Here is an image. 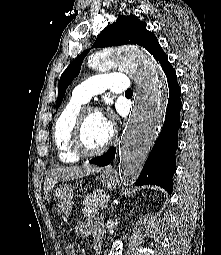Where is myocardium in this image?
<instances>
[{
    "mask_svg": "<svg viewBox=\"0 0 221 255\" xmlns=\"http://www.w3.org/2000/svg\"><path fill=\"white\" fill-rule=\"evenodd\" d=\"M91 113H100L96 108H89L80 114L72 134V148L76 154L80 157H93L104 153L113 143L115 139V129L113 126L110 127V135L107 141L99 148L91 150L88 149L84 142L83 130L87 116Z\"/></svg>",
    "mask_w": 221,
    "mask_h": 255,
    "instance_id": "obj_1",
    "label": "myocardium"
}]
</instances>
